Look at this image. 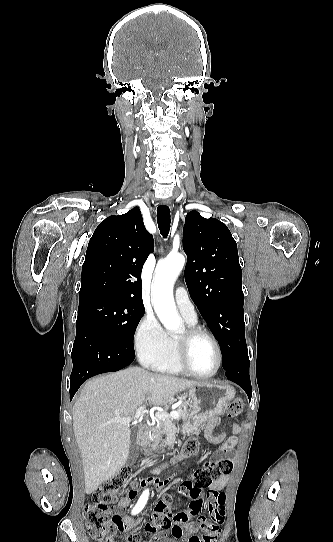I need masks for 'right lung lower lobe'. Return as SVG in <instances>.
<instances>
[{
  "instance_id": "obj_1",
  "label": "right lung lower lobe",
  "mask_w": 333,
  "mask_h": 542,
  "mask_svg": "<svg viewBox=\"0 0 333 542\" xmlns=\"http://www.w3.org/2000/svg\"><path fill=\"white\" fill-rule=\"evenodd\" d=\"M71 356L73 369L70 376V399L88 378L118 371L135 358V354L121 347L102 328L90 323L76 326Z\"/></svg>"
}]
</instances>
